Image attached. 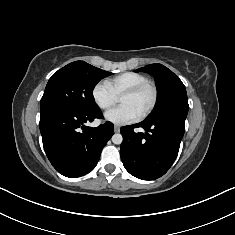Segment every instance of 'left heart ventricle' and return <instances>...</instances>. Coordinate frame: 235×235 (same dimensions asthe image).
<instances>
[{"label":"left heart ventricle","mask_w":235,"mask_h":235,"mask_svg":"<svg viewBox=\"0 0 235 235\" xmlns=\"http://www.w3.org/2000/svg\"><path fill=\"white\" fill-rule=\"evenodd\" d=\"M151 101V91L149 89L143 90L141 93L133 96L124 95L120 98L122 105H129L141 114L149 105Z\"/></svg>","instance_id":"left-heart-ventricle-1"}]
</instances>
